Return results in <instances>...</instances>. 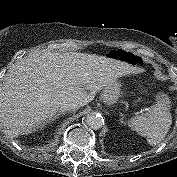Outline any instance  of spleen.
Wrapping results in <instances>:
<instances>
[{"instance_id": "obj_1", "label": "spleen", "mask_w": 177, "mask_h": 177, "mask_svg": "<svg viewBox=\"0 0 177 177\" xmlns=\"http://www.w3.org/2000/svg\"><path fill=\"white\" fill-rule=\"evenodd\" d=\"M156 101L147 113L128 121L131 130L146 137L151 146L159 144L164 139L172 124L169 97L166 94H160L156 97Z\"/></svg>"}]
</instances>
